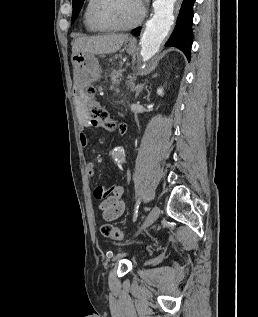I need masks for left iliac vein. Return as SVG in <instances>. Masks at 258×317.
Segmentation results:
<instances>
[{"label":"left iliac vein","mask_w":258,"mask_h":317,"mask_svg":"<svg viewBox=\"0 0 258 317\" xmlns=\"http://www.w3.org/2000/svg\"><path fill=\"white\" fill-rule=\"evenodd\" d=\"M159 212H160V207L159 206H154L151 211L149 212V214L147 215L146 220H144V222H142V228L140 227L139 229H145L144 227H147L149 224H154L155 223V219H157L159 217ZM137 230L135 233H141L140 230Z\"/></svg>","instance_id":"left-iliac-vein-1"}]
</instances>
